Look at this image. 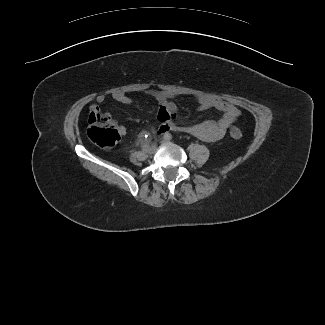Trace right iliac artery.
Here are the masks:
<instances>
[{
    "mask_svg": "<svg viewBox=\"0 0 325 325\" xmlns=\"http://www.w3.org/2000/svg\"><path fill=\"white\" fill-rule=\"evenodd\" d=\"M148 148H149V144H148V143H145V144L143 145V150H144V151H147Z\"/></svg>",
    "mask_w": 325,
    "mask_h": 325,
    "instance_id": "obj_1",
    "label": "right iliac artery"
}]
</instances>
